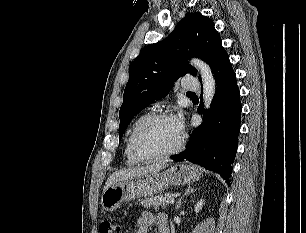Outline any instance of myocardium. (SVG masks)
Instances as JSON below:
<instances>
[{
	"instance_id": "1",
	"label": "myocardium",
	"mask_w": 306,
	"mask_h": 233,
	"mask_svg": "<svg viewBox=\"0 0 306 233\" xmlns=\"http://www.w3.org/2000/svg\"><path fill=\"white\" fill-rule=\"evenodd\" d=\"M172 118V115L167 113V112H158V113H153L149 115L147 118H145L139 126L136 128L134 131L132 138H131V149L133 154L141 160H149V159H159V158H166L173 156L177 154L182 146H183V136L180 135L179 140L177 144L168 151L165 152H150L146 151L141 147L140 141L143 133L145 130L150 127L153 123L163 120V119H168Z\"/></svg>"
}]
</instances>
